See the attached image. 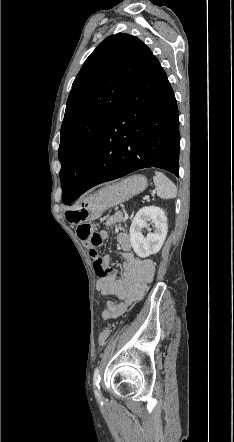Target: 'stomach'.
<instances>
[{"instance_id":"stomach-1","label":"stomach","mask_w":234,"mask_h":442,"mask_svg":"<svg viewBox=\"0 0 234 442\" xmlns=\"http://www.w3.org/2000/svg\"><path fill=\"white\" fill-rule=\"evenodd\" d=\"M147 185L145 176L132 175L87 195L78 206L65 212V218L73 225L98 219L105 210L143 192Z\"/></svg>"}]
</instances>
